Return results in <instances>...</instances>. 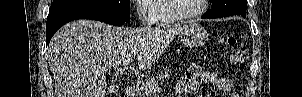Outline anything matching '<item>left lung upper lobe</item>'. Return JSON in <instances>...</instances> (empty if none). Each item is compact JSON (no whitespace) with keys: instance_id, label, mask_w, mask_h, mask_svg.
Here are the masks:
<instances>
[{"instance_id":"obj_1","label":"left lung upper lobe","mask_w":302,"mask_h":97,"mask_svg":"<svg viewBox=\"0 0 302 97\" xmlns=\"http://www.w3.org/2000/svg\"><path fill=\"white\" fill-rule=\"evenodd\" d=\"M213 9L210 11L217 17L241 15L246 17L247 0H210Z\"/></svg>"}]
</instances>
